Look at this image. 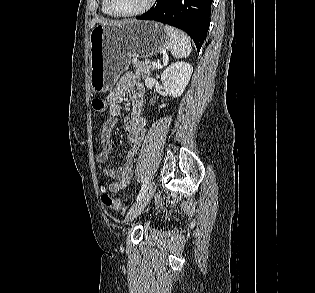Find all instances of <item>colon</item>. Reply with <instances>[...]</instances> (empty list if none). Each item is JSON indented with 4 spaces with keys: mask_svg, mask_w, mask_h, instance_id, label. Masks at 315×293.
Returning <instances> with one entry per match:
<instances>
[{
    "mask_svg": "<svg viewBox=\"0 0 315 293\" xmlns=\"http://www.w3.org/2000/svg\"><path fill=\"white\" fill-rule=\"evenodd\" d=\"M92 107L96 112L102 113L107 108V102L103 98H95L92 101ZM101 201L104 206L113 210H120L126 207V204L121 199L112 197L105 188H102Z\"/></svg>",
    "mask_w": 315,
    "mask_h": 293,
    "instance_id": "1",
    "label": "colon"
}]
</instances>
